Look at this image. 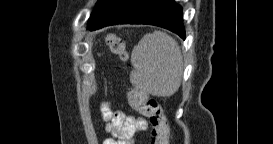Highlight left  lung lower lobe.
Wrapping results in <instances>:
<instances>
[{"instance_id": "0a47b994", "label": "left lung lower lobe", "mask_w": 273, "mask_h": 144, "mask_svg": "<svg viewBox=\"0 0 273 144\" xmlns=\"http://www.w3.org/2000/svg\"><path fill=\"white\" fill-rule=\"evenodd\" d=\"M115 24H150L185 39L182 8L174 0H98L88 21L95 30Z\"/></svg>"}]
</instances>
